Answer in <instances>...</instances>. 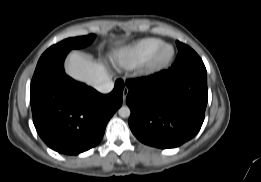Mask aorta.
I'll return each instance as SVG.
<instances>
[{
  "mask_svg": "<svg viewBox=\"0 0 261 182\" xmlns=\"http://www.w3.org/2000/svg\"><path fill=\"white\" fill-rule=\"evenodd\" d=\"M119 116L122 118H128L131 114V111L129 109L128 106H122L119 110H118Z\"/></svg>",
  "mask_w": 261,
  "mask_h": 182,
  "instance_id": "aorta-1",
  "label": "aorta"
}]
</instances>
